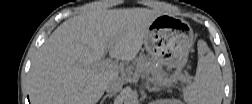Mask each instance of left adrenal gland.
Here are the masks:
<instances>
[{
	"label": "left adrenal gland",
	"instance_id": "left-adrenal-gland-1",
	"mask_svg": "<svg viewBox=\"0 0 252 104\" xmlns=\"http://www.w3.org/2000/svg\"><path fill=\"white\" fill-rule=\"evenodd\" d=\"M160 89H161V88L158 87V86L150 87L149 84L147 85V90H148L149 92H152V91L158 92V91H160Z\"/></svg>",
	"mask_w": 252,
	"mask_h": 104
}]
</instances>
